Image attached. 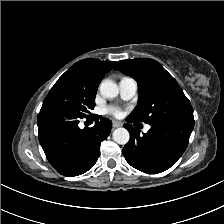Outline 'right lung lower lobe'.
Here are the masks:
<instances>
[{"label": "right lung lower lobe", "instance_id": "right-lung-lower-lobe-1", "mask_svg": "<svg viewBox=\"0 0 224 224\" xmlns=\"http://www.w3.org/2000/svg\"><path fill=\"white\" fill-rule=\"evenodd\" d=\"M92 128L80 129L81 118L54 107H42L37 118L38 138L50 164L64 176H77L91 169L100 155V144L112 127L102 116Z\"/></svg>", "mask_w": 224, "mask_h": 224}]
</instances>
